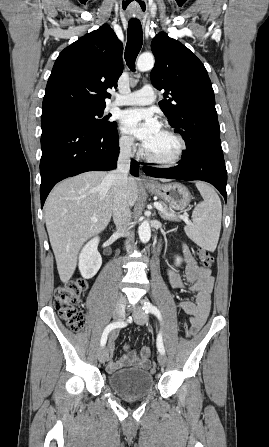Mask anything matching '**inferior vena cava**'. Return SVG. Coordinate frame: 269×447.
Returning <instances> with one entry per match:
<instances>
[{
	"instance_id": "602c4592",
	"label": "inferior vena cava",
	"mask_w": 269,
	"mask_h": 447,
	"mask_svg": "<svg viewBox=\"0 0 269 447\" xmlns=\"http://www.w3.org/2000/svg\"><path fill=\"white\" fill-rule=\"evenodd\" d=\"M131 146H133V140L120 144L117 170L109 172L106 176V180L112 182L114 224L116 225L117 233H122V235H129V229H131V212L127 202L128 174L132 156Z\"/></svg>"
}]
</instances>
